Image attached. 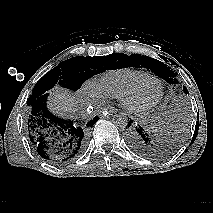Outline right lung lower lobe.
Instances as JSON below:
<instances>
[{"mask_svg": "<svg viewBox=\"0 0 213 213\" xmlns=\"http://www.w3.org/2000/svg\"><path fill=\"white\" fill-rule=\"evenodd\" d=\"M48 93L41 95L29 107L26 117L28 136L38 155L54 164L75 160L84 151L94 117L84 126L52 114L47 108Z\"/></svg>", "mask_w": 213, "mask_h": 213, "instance_id": "right-lung-lower-lobe-1", "label": "right lung lower lobe"}]
</instances>
